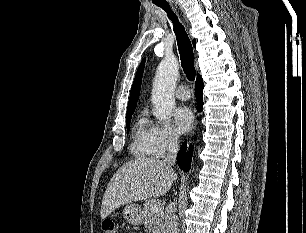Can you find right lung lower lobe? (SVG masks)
<instances>
[{"instance_id":"right-lung-lower-lobe-1","label":"right lung lower lobe","mask_w":306,"mask_h":233,"mask_svg":"<svg viewBox=\"0 0 306 233\" xmlns=\"http://www.w3.org/2000/svg\"><path fill=\"white\" fill-rule=\"evenodd\" d=\"M203 88H204L203 80L201 76L198 75L195 84V93H196L198 111H201L203 106V94H202ZM186 145L187 143L184 142L182 147L180 148V151L177 155V163L181 169L187 172L191 168L192 149H190L189 152H186L187 150Z\"/></svg>"}]
</instances>
